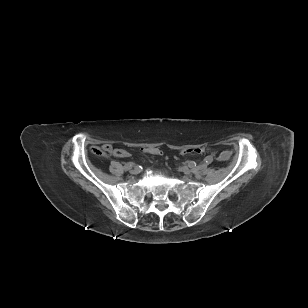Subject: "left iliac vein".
Instances as JSON below:
<instances>
[{"mask_svg": "<svg viewBox=\"0 0 308 308\" xmlns=\"http://www.w3.org/2000/svg\"><path fill=\"white\" fill-rule=\"evenodd\" d=\"M179 171L185 173V174H190L191 173V169L186 167V166H181L179 167Z\"/></svg>", "mask_w": 308, "mask_h": 308, "instance_id": "left-iliac-vein-1", "label": "left iliac vein"}]
</instances>
